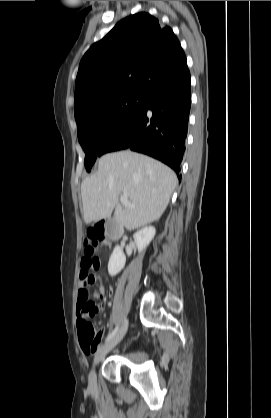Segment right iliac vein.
<instances>
[{
	"label": "right iliac vein",
	"mask_w": 271,
	"mask_h": 418,
	"mask_svg": "<svg viewBox=\"0 0 271 418\" xmlns=\"http://www.w3.org/2000/svg\"><path fill=\"white\" fill-rule=\"evenodd\" d=\"M128 329V321L125 320L122 324L119 331L116 333V335L109 340L107 343H105L96 353L92 369L89 373V385L92 388H95L96 386V373H95V367L97 364L104 359V357L107 355L109 351H111L125 336Z\"/></svg>",
	"instance_id": "1"
}]
</instances>
